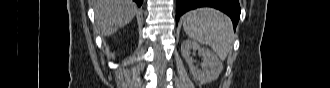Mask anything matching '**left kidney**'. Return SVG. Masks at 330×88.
<instances>
[{"label": "left kidney", "mask_w": 330, "mask_h": 88, "mask_svg": "<svg viewBox=\"0 0 330 88\" xmlns=\"http://www.w3.org/2000/svg\"><path fill=\"white\" fill-rule=\"evenodd\" d=\"M191 49L197 50L198 54L203 57V62L201 64L202 69L193 65V59L190 57ZM181 53L188 63L193 77L202 84L217 80L223 70V64L217 56L211 50L201 47L195 41L190 39L185 40L181 45Z\"/></svg>", "instance_id": "5707ae66"}]
</instances>
